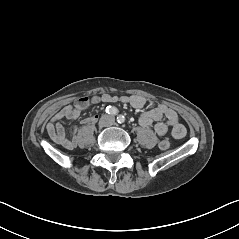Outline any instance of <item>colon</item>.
Listing matches in <instances>:
<instances>
[{
  "label": "colon",
  "instance_id": "obj_1",
  "mask_svg": "<svg viewBox=\"0 0 239 239\" xmlns=\"http://www.w3.org/2000/svg\"><path fill=\"white\" fill-rule=\"evenodd\" d=\"M86 101H87V99L84 98V99H81V100H80V103H81V104H84ZM169 147H170V143H169V141H167V140H163V141H161V142L159 143V148H160L161 150H167Z\"/></svg>",
  "mask_w": 239,
  "mask_h": 239
}]
</instances>
